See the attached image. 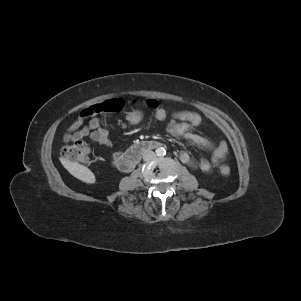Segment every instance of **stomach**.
<instances>
[{
  "mask_svg": "<svg viewBox=\"0 0 301 301\" xmlns=\"http://www.w3.org/2000/svg\"><path fill=\"white\" fill-rule=\"evenodd\" d=\"M143 119V114L140 111H133L128 113L127 115V120L129 121L130 124L136 125L140 123Z\"/></svg>",
  "mask_w": 301,
  "mask_h": 301,
  "instance_id": "0dacf381",
  "label": "stomach"
}]
</instances>
